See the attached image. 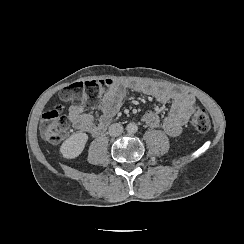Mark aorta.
Segmentation results:
<instances>
[{
	"label": "aorta",
	"instance_id": "762f6f07",
	"mask_svg": "<svg viewBox=\"0 0 244 244\" xmlns=\"http://www.w3.org/2000/svg\"><path fill=\"white\" fill-rule=\"evenodd\" d=\"M126 130H127L128 133L134 134V133H136L138 131V126H137L136 123L131 122V123L127 124Z\"/></svg>",
	"mask_w": 244,
	"mask_h": 244
}]
</instances>
